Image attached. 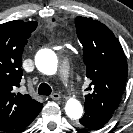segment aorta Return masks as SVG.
I'll return each mask as SVG.
<instances>
[{
    "label": "aorta",
    "instance_id": "1",
    "mask_svg": "<svg viewBox=\"0 0 133 133\" xmlns=\"http://www.w3.org/2000/svg\"><path fill=\"white\" fill-rule=\"evenodd\" d=\"M35 64L37 69L43 74L53 75L57 72L58 59L52 50L46 49L36 55ZM65 111L67 116L73 120H78L83 115L82 105L75 98L67 100L65 104Z\"/></svg>",
    "mask_w": 133,
    "mask_h": 133
}]
</instances>
